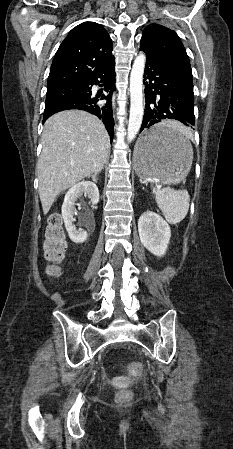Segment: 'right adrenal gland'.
Returning a JSON list of instances; mask_svg holds the SVG:
<instances>
[{"instance_id": "1", "label": "right adrenal gland", "mask_w": 233, "mask_h": 449, "mask_svg": "<svg viewBox=\"0 0 233 449\" xmlns=\"http://www.w3.org/2000/svg\"><path fill=\"white\" fill-rule=\"evenodd\" d=\"M103 169V167L101 168V170ZM100 170V171H101ZM100 171H97V172H95L91 177H92V180L94 181V182H97V179H96V177H97V175L99 174V172Z\"/></svg>"}]
</instances>
